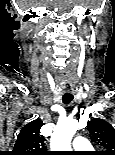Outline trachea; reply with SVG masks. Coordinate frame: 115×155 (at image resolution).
I'll return each instance as SVG.
<instances>
[{
    "instance_id": "3493384b",
    "label": "trachea",
    "mask_w": 115,
    "mask_h": 155,
    "mask_svg": "<svg viewBox=\"0 0 115 155\" xmlns=\"http://www.w3.org/2000/svg\"><path fill=\"white\" fill-rule=\"evenodd\" d=\"M65 93L66 94L63 95L62 100L63 103L67 105L73 100V95H71V90H65Z\"/></svg>"
}]
</instances>
